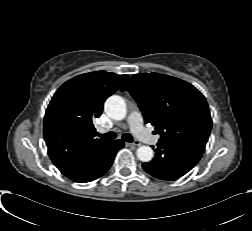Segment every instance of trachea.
<instances>
[{
  "label": "trachea",
  "mask_w": 252,
  "mask_h": 231,
  "mask_svg": "<svg viewBox=\"0 0 252 231\" xmlns=\"http://www.w3.org/2000/svg\"><path fill=\"white\" fill-rule=\"evenodd\" d=\"M98 136L106 140H112L116 138V134L114 132L98 134ZM122 139L126 142H133V137L130 134H123Z\"/></svg>",
  "instance_id": "3493384b"
}]
</instances>
